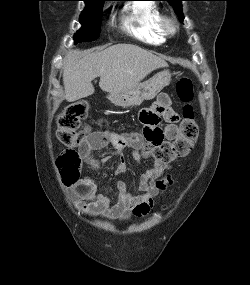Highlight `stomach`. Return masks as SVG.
Wrapping results in <instances>:
<instances>
[{
	"label": "stomach",
	"instance_id": "0dacf381",
	"mask_svg": "<svg viewBox=\"0 0 250 285\" xmlns=\"http://www.w3.org/2000/svg\"><path fill=\"white\" fill-rule=\"evenodd\" d=\"M170 81L171 73L164 70L128 89L110 92L108 99L120 107L139 106L143 101L153 99Z\"/></svg>",
	"mask_w": 250,
	"mask_h": 285
}]
</instances>
